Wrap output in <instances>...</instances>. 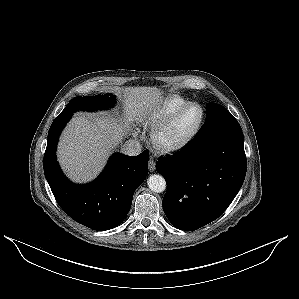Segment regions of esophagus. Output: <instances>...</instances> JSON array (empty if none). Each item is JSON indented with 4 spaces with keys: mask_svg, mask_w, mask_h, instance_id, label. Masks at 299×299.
Here are the masks:
<instances>
[{
    "mask_svg": "<svg viewBox=\"0 0 299 299\" xmlns=\"http://www.w3.org/2000/svg\"><path fill=\"white\" fill-rule=\"evenodd\" d=\"M148 167H149V170H150L151 172L155 171V162H154L153 159H150V160L148 161Z\"/></svg>",
    "mask_w": 299,
    "mask_h": 299,
    "instance_id": "esophagus-1",
    "label": "esophagus"
}]
</instances>
